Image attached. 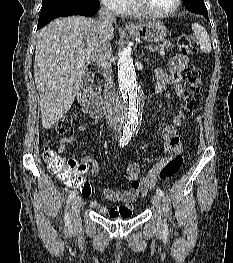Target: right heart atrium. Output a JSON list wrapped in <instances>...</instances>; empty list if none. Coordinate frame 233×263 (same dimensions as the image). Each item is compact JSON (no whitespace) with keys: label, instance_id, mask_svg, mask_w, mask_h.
<instances>
[{"label":"right heart atrium","instance_id":"d8ad5b80","mask_svg":"<svg viewBox=\"0 0 233 263\" xmlns=\"http://www.w3.org/2000/svg\"><path fill=\"white\" fill-rule=\"evenodd\" d=\"M107 8L116 14L124 13L130 0H100Z\"/></svg>","mask_w":233,"mask_h":263}]
</instances>
